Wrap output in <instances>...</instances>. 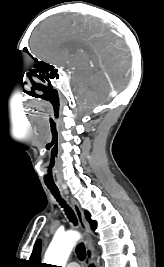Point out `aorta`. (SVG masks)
I'll return each instance as SVG.
<instances>
[{
	"label": "aorta",
	"instance_id": "aorta-1",
	"mask_svg": "<svg viewBox=\"0 0 164 267\" xmlns=\"http://www.w3.org/2000/svg\"><path fill=\"white\" fill-rule=\"evenodd\" d=\"M79 239L80 234L76 231L55 235L45 253V263L65 267L69 255Z\"/></svg>",
	"mask_w": 164,
	"mask_h": 267
}]
</instances>
